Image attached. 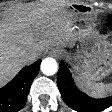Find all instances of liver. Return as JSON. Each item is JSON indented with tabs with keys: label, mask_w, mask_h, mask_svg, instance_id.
<instances>
[{
	"label": "liver",
	"mask_w": 112,
	"mask_h": 112,
	"mask_svg": "<svg viewBox=\"0 0 112 112\" xmlns=\"http://www.w3.org/2000/svg\"><path fill=\"white\" fill-rule=\"evenodd\" d=\"M70 16L61 3L29 4L11 22H0V86L25 65L24 53L39 55L50 46L67 44L62 28Z\"/></svg>",
	"instance_id": "obj_1"
}]
</instances>
